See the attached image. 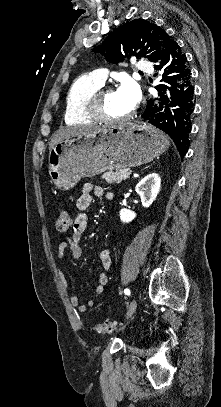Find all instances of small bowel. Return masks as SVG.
Segmentation results:
<instances>
[{
  "mask_svg": "<svg viewBox=\"0 0 221 407\" xmlns=\"http://www.w3.org/2000/svg\"><path fill=\"white\" fill-rule=\"evenodd\" d=\"M93 195L97 197H106L112 199L113 195L106 191L101 185H95L91 183H85L81 186V194L76 201L77 214L72 222L71 235L65 237L58 247V258L63 260L68 252L72 258L78 259L81 257L82 249L78 245V241L83 236L87 228V215L86 210L90 206ZM99 259L102 268L97 273L98 284L95 287V293L101 295L104 292V287L108 283V271L111 266L110 249L104 248L100 254ZM60 278L65 287H67V281L62 271H60ZM71 305L80 312H85L88 307L94 306V300L89 299L86 304L82 303L79 297L72 293L70 297Z\"/></svg>",
  "mask_w": 221,
  "mask_h": 407,
  "instance_id": "c3829d8e",
  "label": "small bowel"
}]
</instances>
